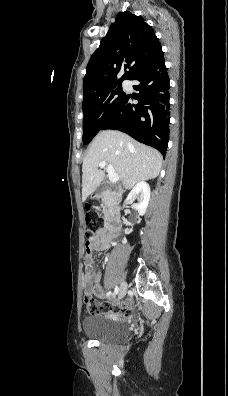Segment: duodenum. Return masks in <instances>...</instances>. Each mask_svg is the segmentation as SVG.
Here are the masks:
<instances>
[{
    "label": "duodenum",
    "mask_w": 228,
    "mask_h": 396,
    "mask_svg": "<svg viewBox=\"0 0 228 396\" xmlns=\"http://www.w3.org/2000/svg\"><path fill=\"white\" fill-rule=\"evenodd\" d=\"M111 189L112 188L110 186L101 185L96 194L97 196H105L110 193ZM120 226V196L114 195L110 197V207L106 219V229L115 234L120 230Z\"/></svg>",
    "instance_id": "obj_1"
}]
</instances>
